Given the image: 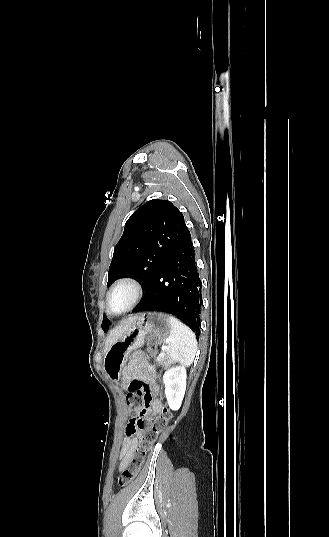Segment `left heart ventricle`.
<instances>
[{
    "label": "left heart ventricle",
    "mask_w": 329,
    "mask_h": 537,
    "mask_svg": "<svg viewBox=\"0 0 329 537\" xmlns=\"http://www.w3.org/2000/svg\"><path fill=\"white\" fill-rule=\"evenodd\" d=\"M133 288L124 285L116 289L110 297V307L113 312H122L127 309L134 299Z\"/></svg>",
    "instance_id": "obj_1"
}]
</instances>
